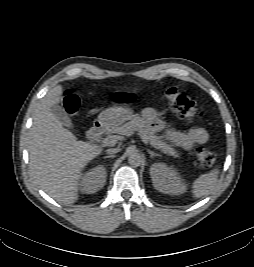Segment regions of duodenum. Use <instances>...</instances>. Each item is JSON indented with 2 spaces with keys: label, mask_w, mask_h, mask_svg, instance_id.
Masks as SVG:
<instances>
[{
  "label": "duodenum",
  "mask_w": 254,
  "mask_h": 267,
  "mask_svg": "<svg viewBox=\"0 0 254 267\" xmlns=\"http://www.w3.org/2000/svg\"><path fill=\"white\" fill-rule=\"evenodd\" d=\"M104 124L96 122L87 132V138L90 141L98 140L104 132Z\"/></svg>",
  "instance_id": "duodenum-1"
}]
</instances>
